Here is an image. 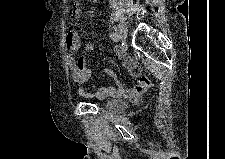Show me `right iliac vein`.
<instances>
[{
	"label": "right iliac vein",
	"instance_id": "obj_1",
	"mask_svg": "<svg viewBox=\"0 0 225 159\" xmlns=\"http://www.w3.org/2000/svg\"><path fill=\"white\" fill-rule=\"evenodd\" d=\"M117 34L119 35V38L122 40H125L127 38V28L123 23L118 24Z\"/></svg>",
	"mask_w": 225,
	"mask_h": 159
}]
</instances>
